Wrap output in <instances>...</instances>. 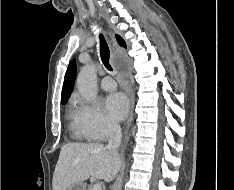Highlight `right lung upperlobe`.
Here are the masks:
<instances>
[{
  "instance_id": "cb5924a9",
  "label": "right lung upper lobe",
  "mask_w": 234,
  "mask_h": 190,
  "mask_svg": "<svg viewBox=\"0 0 234 190\" xmlns=\"http://www.w3.org/2000/svg\"><path fill=\"white\" fill-rule=\"evenodd\" d=\"M116 39L121 46L126 48L124 40L119 35H116ZM75 75H76V62L75 59H73L70 62L68 69L66 71L63 89H62V103H66L68 98L70 97V94L74 86Z\"/></svg>"
}]
</instances>
